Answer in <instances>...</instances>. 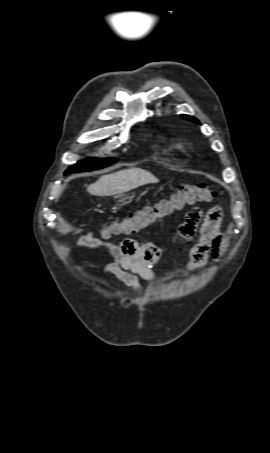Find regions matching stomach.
<instances>
[{
  "mask_svg": "<svg viewBox=\"0 0 270 453\" xmlns=\"http://www.w3.org/2000/svg\"><path fill=\"white\" fill-rule=\"evenodd\" d=\"M116 198H118V202L121 203V205H125L127 204L129 201H126L127 200V197L123 196V195H120V196H117ZM130 199V198H129Z\"/></svg>",
  "mask_w": 270,
  "mask_h": 453,
  "instance_id": "stomach-1",
  "label": "stomach"
}]
</instances>
